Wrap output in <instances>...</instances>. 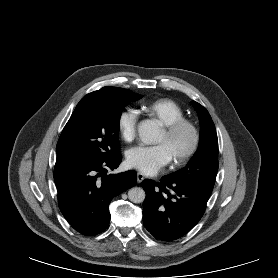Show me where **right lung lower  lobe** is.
Returning <instances> with one entry per match:
<instances>
[{
    "label": "right lung lower lobe",
    "instance_id": "right-lung-lower-lobe-1",
    "mask_svg": "<svg viewBox=\"0 0 278 278\" xmlns=\"http://www.w3.org/2000/svg\"><path fill=\"white\" fill-rule=\"evenodd\" d=\"M121 161L119 153L108 159L55 166L59 208L78 232L84 235L103 232L109 225L108 207L112 198L136 184L135 171L107 174L116 169Z\"/></svg>",
    "mask_w": 278,
    "mask_h": 278
}]
</instances>
